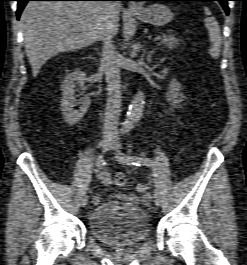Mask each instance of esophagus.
<instances>
[{"label": "esophagus", "instance_id": "1", "mask_svg": "<svg viewBox=\"0 0 247 265\" xmlns=\"http://www.w3.org/2000/svg\"><path fill=\"white\" fill-rule=\"evenodd\" d=\"M128 9L132 12H136L141 9V6L137 2L131 1L128 5Z\"/></svg>", "mask_w": 247, "mask_h": 265}]
</instances>
